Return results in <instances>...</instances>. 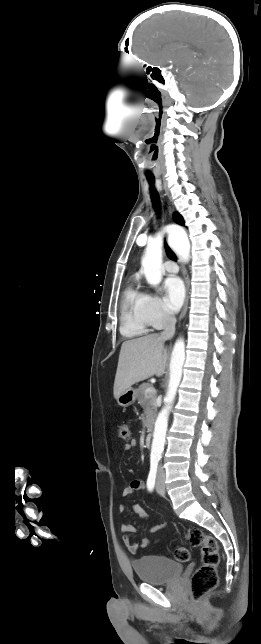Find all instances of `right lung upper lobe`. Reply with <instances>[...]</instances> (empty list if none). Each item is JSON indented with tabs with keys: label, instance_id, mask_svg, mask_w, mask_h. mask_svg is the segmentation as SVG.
Instances as JSON below:
<instances>
[{
	"label": "right lung upper lobe",
	"instance_id": "1",
	"mask_svg": "<svg viewBox=\"0 0 261 644\" xmlns=\"http://www.w3.org/2000/svg\"><path fill=\"white\" fill-rule=\"evenodd\" d=\"M174 217H175L176 223H178L180 225H184V220H183L181 215H179L178 213H175Z\"/></svg>",
	"mask_w": 261,
	"mask_h": 644
}]
</instances>
